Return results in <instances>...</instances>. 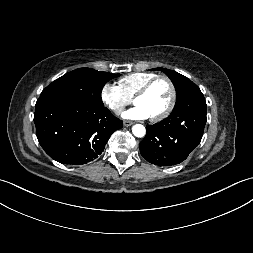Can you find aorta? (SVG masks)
<instances>
[{
  "instance_id": "aorta-1",
  "label": "aorta",
  "mask_w": 253,
  "mask_h": 253,
  "mask_svg": "<svg viewBox=\"0 0 253 253\" xmlns=\"http://www.w3.org/2000/svg\"><path fill=\"white\" fill-rule=\"evenodd\" d=\"M132 132H133L134 136L141 138V137L145 136L146 129L143 125L136 124L132 127Z\"/></svg>"
}]
</instances>
